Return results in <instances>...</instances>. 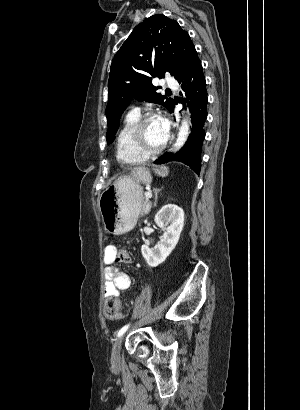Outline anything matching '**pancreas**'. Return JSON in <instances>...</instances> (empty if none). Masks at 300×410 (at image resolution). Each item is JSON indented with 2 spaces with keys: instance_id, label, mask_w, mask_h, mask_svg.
Wrapping results in <instances>:
<instances>
[{
  "instance_id": "1",
  "label": "pancreas",
  "mask_w": 300,
  "mask_h": 410,
  "mask_svg": "<svg viewBox=\"0 0 300 410\" xmlns=\"http://www.w3.org/2000/svg\"><path fill=\"white\" fill-rule=\"evenodd\" d=\"M151 208V202L149 199L145 198L142 200V205H141V212L142 214H148Z\"/></svg>"
}]
</instances>
